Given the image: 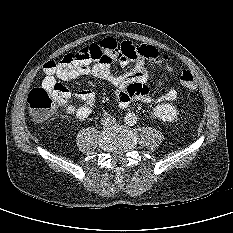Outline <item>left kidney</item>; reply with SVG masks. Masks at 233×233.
I'll return each mask as SVG.
<instances>
[{
	"label": "left kidney",
	"instance_id": "5707ae66",
	"mask_svg": "<svg viewBox=\"0 0 233 233\" xmlns=\"http://www.w3.org/2000/svg\"><path fill=\"white\" fill-rule=\"evenodd\" d=\"M154 115L162 121H173L177 117V109L171 103L159 104L154 109Z\"/></svg>",
	"mask_w": 233,
	"mask_h": 233
}]
</instances>
